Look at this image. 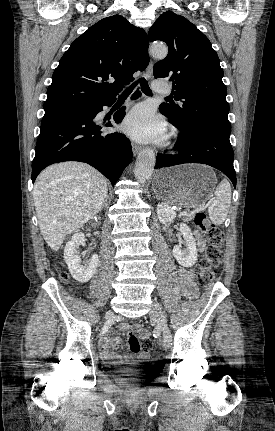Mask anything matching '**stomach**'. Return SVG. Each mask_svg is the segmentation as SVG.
Instances as JSON below:
<instances>
[{
	"label": "stomach",
	"mask_w": 275,
	"mask_h": 431,
	"mask_svg": "<svg viewBox=\"0 0 275 431\" xmlns=\"http://www.w3.org/2000/svg\"><path fill=\"white\" fill-rule=\"evenodd\" d=\"M216 183V175L210 167L186 164L159 170L153 180V189L173 205L198 208L212 196Z\"/></svg>",
	"instance_id": "0dacf381"
}]
</instances>
